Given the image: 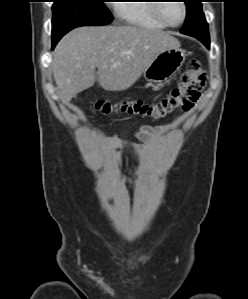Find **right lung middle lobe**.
<instances>
[{
	"instance_id": "obj_1",
	"label": "right lung middle lobe",
	"mask_w": 248,
	"mask_h": 299,
	"mask_svg": "<svg viewBox=\"0 0 248 299\" xmlns=\"http://www.w3.org/2000/svg\"><path fill=\"white\" fill-rule=\"evenodd\" d=\"M52 44L71 29L84 25H106L112 21L104 0H53Z\"/></svg>"
}]
</instances>
